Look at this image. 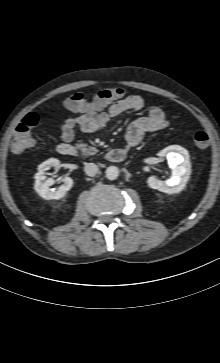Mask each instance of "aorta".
<instances>
[{"mask_svg":"<svg viewBox=\"0 0 220 363\" xmlns=\"http://www.w3.org/2000/svg\"><path fill=\"white\" fill-rule=\"evenodd\" d=\"M106 177L109 180H115L119 176V169L116 166H109L105 171Z\"/></svg>","mask_w":220,"mask_h":363,"instance_id":"aorta-1","label":"aorta"}]
</instances>
